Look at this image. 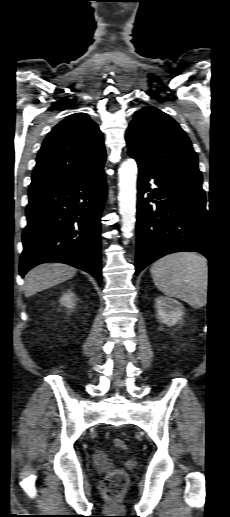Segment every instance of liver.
I'll return each mask as SVG.
<instances>
[{
  "label": "liver",
  "instance_id": "liver-1",
  "mask_svg": "<svg viewBox=\"0 0 230 517\" xmlns=\"http://www.w3.org/2000/svg\"><path fill=\"white\" fill-rule=\"evenodd\" d=\"M76 269L62 263H44L34 267L25 275L24 293L30 297L35 293L71 279Z\"/></svg>",
  "mask_w": 230,
  "mask_h": 517
}]
</instances>
